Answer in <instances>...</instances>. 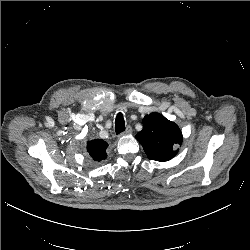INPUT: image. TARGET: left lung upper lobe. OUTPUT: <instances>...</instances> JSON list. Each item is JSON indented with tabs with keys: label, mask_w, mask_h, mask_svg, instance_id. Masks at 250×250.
<instances>
[{
	"label": "left lung upper lobe",
	"mask_w": 250,
	"mask_h": 250,
	"mask_svg": "<svg viewBox=\"0 0 250 250\" xmlns=\"http://www.w3.org/2000/svg\"><path fill=\"white\" fill-rule=\"evenodd\" d=\"M149 159L168 161L178 152L182 143L179 127L159 113H151L143 119V130L136 135Z\"/></svg>",
	"instance_id": "1"
}]
</instances>
